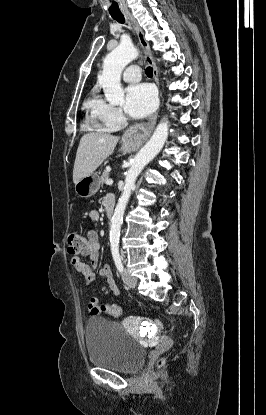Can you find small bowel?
<instances>
[{"mask_svg":"<svg viewBox=\"0 0 266 415\" xmlns=\"http://www.w3.org/2000/svg\"><path fill=\"white\" fill-rule=\"evenodd\" d=\"M108 202H114L115 198L113 195H107L104 198V204ZM99 220V213L95 210L90 211L89 221L92 225H95ZM99 252H100V241L99 236L95 230H91L88 233V242L87 246L83 251L80 252L79 256H74L71 259V264L75 270L83 276L85 283L92 284L95 281L96 274L95 269L98 266L99 262ZM83 258L88 259V263L83 261ZM99 275L104 279L105 285L102 287V292L104 294L118 295L119 287L112 276V272L109 266L104 265L99 270ZM88 310L91 315H97L99 311L98 299L92 297L88 304Z\"/></svg>","mask_w":266,"mask_h":415,"instance_id":"obj_1","label":"small bowel"}]
</instances>
